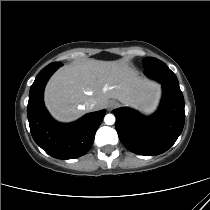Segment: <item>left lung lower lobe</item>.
<instances>
[{"instance_id": "left-lung-lower-lobe-1", "label": "left lung lower lobe", "mask_w": 210, "mask_h": 210, "mask_svg": "<svg viewBox=\"0 0 210 210\" xmlns=\"http://www.w3.org/2000/svg\"><path fill=\"white\" fill-rule=\"evenodd\" d=\"M144 74L162 84L163 98L158 111L150 117L129 108L112 112L123 145L135 154L155 156L167 151L181 134L184 98L177 77L162 61L146 67Z\"/></svg>"}]
</instances>
